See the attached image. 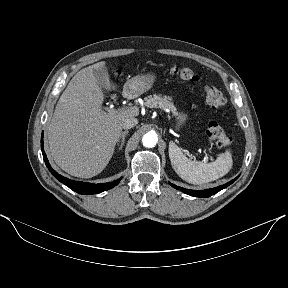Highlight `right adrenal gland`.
I'll list each match as a JSON object with an SVG mask.
<instances>
[{
  "label": "right adrenal gland",
  "instance_id": "2a0ac1e0",
  "mask_svg": "<svg viewBox=\"0 0 288 288\" xmlns=\"http://www.w3.org/2000/svg\"><path fill=\"white\" fill-rule=\"evenodd\" d=\"M129 133V131L128 130H125V131H123L122 133H121V135H120V137H119V139H118V146H119V150H122V148H123V146H124V143H125V137H126V135ZM119 143H120V145H119Z\"/></svg>",
  "mask_w": 288,
  "mask_h": 288
}]
</instances>
